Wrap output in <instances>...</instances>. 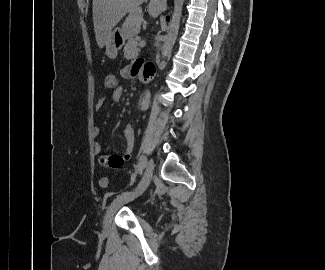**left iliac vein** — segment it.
<instances>
[{
    "label": "left iliac vein",
    "mask_w": 325,
    "mask_h": 270,
    "mask_svg": "<svg viewBox=\"0 0 325 270\" xmlns=\"http://www.w3.org/2000/svg\"><path fill=\"white\" fill-rule=\"evenodd\" d=\"M153 169H154V164L153 161L150 159L145 164L144 175L140 183L138 184V186L129 194L120 195L113 200V202L108 207L104 217V222H103L104 233H108L110 231L112 220L114 218L115 213L118 211V209L124 204H127L128 202L142 195V193L146 190V188L148 187L151 181Z\"/></svg>",
    "instance_id": "4c4485c4"
}]
</instances>
